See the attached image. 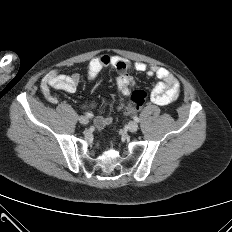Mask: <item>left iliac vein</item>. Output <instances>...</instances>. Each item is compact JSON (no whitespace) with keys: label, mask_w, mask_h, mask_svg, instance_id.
<instances>
[{"label":"left iliac vein","mask_w":232,"mask_h":232,"mask_svg":"<svg viewBox=\"0 0 232 232\" xmlns=\"http://www.w3.org/2000/svg\"><path fill=\"white\" fill-rule=\"evenodd\" d=\"M128 129L131 132H136L138 130V124L136 122H130L128 124Z\"/></svg>","instance_id":"left-iliac-vein-1"}]
</instances>
